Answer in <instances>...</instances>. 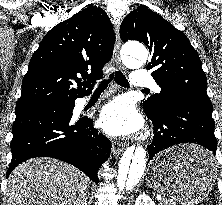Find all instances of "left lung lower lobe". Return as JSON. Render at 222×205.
I'll return each instance as SVG.
<instances>
[{"label": "left lung lower lobe", "mask_w": 222, "mask_h": 205, "mask_svg": "<svg viewBox=\"0 0 222 205\" xmlns=\"http://www.w3.org/2000/svg\"><path fill=\"white\" fill-rule=\"evenodd\" d=\"M211 101L189 95L168 98L163 111L154 116L146 113L154 126V137L149 150V161L164 149L182 143H194L208 149L205 155L195 156L201 164H213L217 141L214 135ZM148 161V162H149Z\"/></svg>", "instance_id": "1"}]
</instances>
